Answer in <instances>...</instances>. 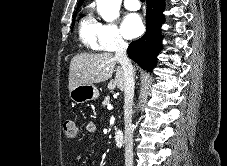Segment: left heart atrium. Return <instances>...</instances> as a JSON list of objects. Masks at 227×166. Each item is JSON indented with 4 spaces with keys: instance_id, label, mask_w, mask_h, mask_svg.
Listing matches in <instances>:
<instances>
[{
    "instance_id": "1",
    "label": "left heart atrium",
    "mask_w": 227,
    "mask_h": 166,
    "mask_svg": "<svg viewBox=\"0 0 227 166\" xmlns=\"http://www.w3.org/2000/svg\"><path fill=\"white\" fill-rule=\"evenodd\" d=\"M144 30L141 17L138 14H128L122 23V32L127 38H135Z\"/></svg>"
}]
</instances>
